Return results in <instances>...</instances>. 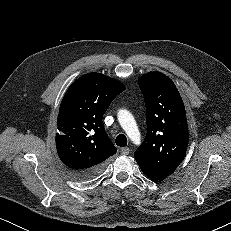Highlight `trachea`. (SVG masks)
Listing matches in <instances>:
<instances>
[{
    "label": "trachea",
    "instance_id": "trachea-1",
    "mask_svg": "<svg viewBox=\"0 0 231 231\" xmlns=\"http://www.w3.org/2000/svg\"><path fill=\"white\" fill-rule=\"evenodd\" d=\"M115 142H116L117 146L125 147V146H127V137L124 134H119L116 137Z\"/></svg>",
    "mask_w": 231,
    "mask_h": 231
}]
</instances>
